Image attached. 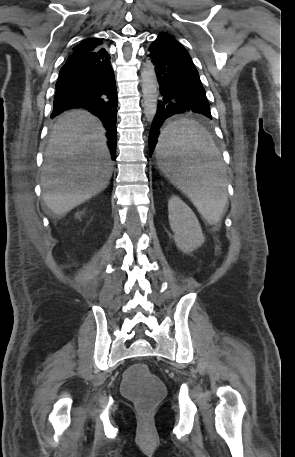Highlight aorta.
<instances>
[{"instance_id": "aorta-1", "label": "aorta", "mask_w": 295, "mask_h": 457, "mask_svg": "<svg viewBox=\"0 0 295 457\" xmlns=\"http://www.w3.org/2000/svg\"><path fill=\"white\" fill-rule=\"evenodd\" d=\"M141 87L145 117L148 122H151L157 112V99L159 95L156 73L151 61H147L142 68Z\"/></svg>"}]
</instances>
